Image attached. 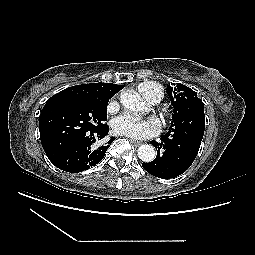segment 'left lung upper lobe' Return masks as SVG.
<instances>
[{"instance_id": "obj_1", "label": "left lung upper lobe", "mask_w": 255, "mask_h": 255, "mask_svg": "<svg viewBox=\"0 0 255 255\" xmlns=\"http://www.w3.org/2000/svg\"><path fill=\"white\" fill-rule=\"evenodd\" d=\"M168 86L167 92L174 106V113L170 127L191 123L204 110L203 102L197 93L189 87L178 83Z\"/></svg>"}]
</instances>
